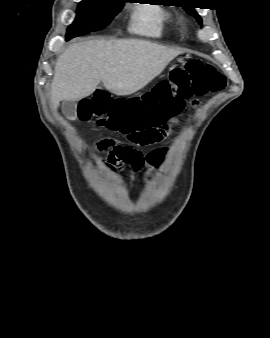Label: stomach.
Segmentation results:
<instances>
[{
	"label": "stomach",
	"instance_id": "stomach-1",
	"mask_svg": "<svg viewBox=\"0 0 270 338\" xmlns=\"http://www.w3.org/2000/svg\"><path fill=\"white\" fill-rule=\"evenodd\" d=\"M177 63H180V64H184L185 63V59L183 57H179L177 58Z\"/></svg>",
	"mask_w": 270,
	"mask_h": 338
}]
</instances>
